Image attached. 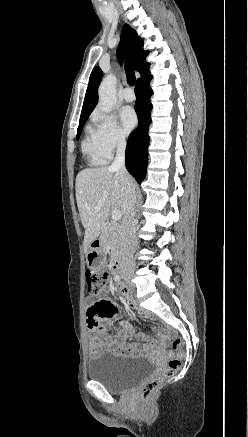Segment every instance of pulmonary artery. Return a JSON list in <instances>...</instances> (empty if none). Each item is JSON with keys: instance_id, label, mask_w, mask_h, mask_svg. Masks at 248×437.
Listing matches in <instances>:
<instances>
[{"instance_id": "1", "label": "pulmonary artery", "mask_w": 248, "mask_h": 437, "mask_svg": "<svg viewBox=\"0 0 248 437\" xmlns=\"http://www.w3.org/2000/svg\"><path fill=\"white\" fill-rule=\"evenodd\" d=\"M122 95H123L124 100L127 102H131L135 99V95L130 88H125L123 90Z\"/></svg>"}]
</instances>
